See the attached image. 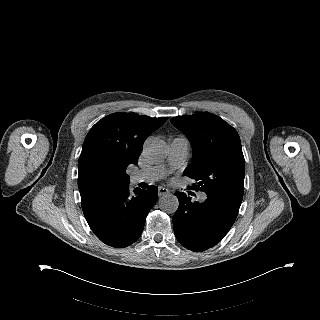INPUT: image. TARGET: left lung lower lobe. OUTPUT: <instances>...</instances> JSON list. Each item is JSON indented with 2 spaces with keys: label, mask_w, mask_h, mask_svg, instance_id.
Here are the masks:
<instances>
[{
  "label": "left lung lower lobe",
  "mask_w": 320,
  "mask_h": 320,
  "mask_svg": "<svg viewBox=\"0 0 320 320\" xmlns=\"http://www.w3.org/2000/svg\"><path fill=\"white\" fill-rule=\"evenodd\" d=\"M179 207L173 216L174 233L185 248L204 251L219 243L233 225L241 202L224 194H207L204 202H192L176 192Z\"/></svg>",
  "instance_id": "obj_1"
}]
</instances>
